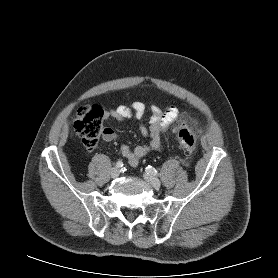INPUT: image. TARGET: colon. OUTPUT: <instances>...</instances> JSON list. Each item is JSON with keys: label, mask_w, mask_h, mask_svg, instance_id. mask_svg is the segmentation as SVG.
<instances>
[{"label": "colon", "mask_w": 278, "mask_h": 278, "mask_svg": "<svg viewBox=\"0 0 278 278\" xmlns=\"http://www.w3.org/2000/svg\"><path fill=\"white\" fill-rule=\"evenodd\" d=\"M105 113L97 105L81 107L74 122V129L80 136L84 146L93 149L99 137L104 132L103 121ZM180 145L187 156L194 153L196 148V138L192 128L184 123L174 129Z\"/></svg>", "instance_id": "1"}]
</instances>
